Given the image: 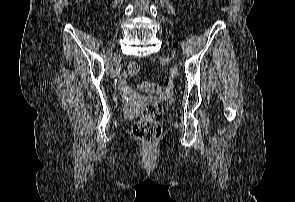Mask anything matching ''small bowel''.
Returning a JSON list of instances; mask_svg holds the SVG:
<instances>
[{"label": "small bowel", "instance_id": "1", "mask_svg": "<svg viewBox=\"0 0 295 202\" xmlns=\"http://www.w3.org/2000/svg\"><path fill=\"white\" fill-rule=\"evenodd\" d=\"M118 98H126L124 107H152L149 98H135V93H130L131 89L126 81H117Z\"/></svg>", "mask_w": 295, "mask_h": 202}]
</instances>
